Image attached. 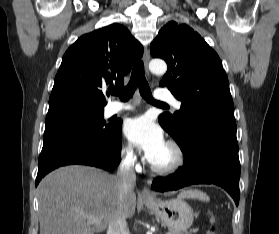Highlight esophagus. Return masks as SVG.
Wrapping results in <instances>:
<instances>
[{
	"label": "esophagus",
	"mask_w": 279,
	"mask_h": 234,
	"mask_svg": "<svg viewBox=\"0 0 279 234\" xmlns=\"http://www.w3.org/2000/svg\"><path fill=\"white\" fill-rule=\"evenodd\" d=\"M143 60H144V64H145L146 74H147L148 78H150V73H149V69H148L150 54H149V50L147 48L144 49ZM141 197L144 199H153V194L151 193V191L148 188L144 187L141 191Z\"/></svg>",
	"instance_id": "obj_1"
}]
</instances>
